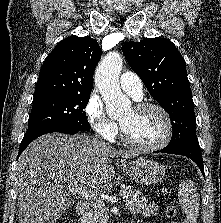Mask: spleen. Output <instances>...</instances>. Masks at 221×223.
<instances>
[{"mask_svg":"<svg viewBox=\"0 0 221 223\" xmlns=\"http://www.w3.org/2000/svg\"><path fill=\"white\" fill-rule=\"evenodd\" d=\"M178 197L180 207L186 215L183 223H196L199 215L200 199L192 180L185 179L180 183Z\"/></svg>","mask_w":221,"mask_h":223,"instance_id":"1","label":"spleen"}]
</instances>
